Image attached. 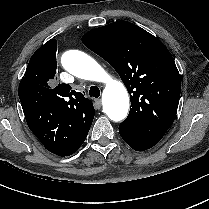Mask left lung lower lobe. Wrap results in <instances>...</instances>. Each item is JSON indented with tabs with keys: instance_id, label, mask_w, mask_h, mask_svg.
<instances>
[{
	"instance_id": "1",
	"label": "left lung lower lobe",
	"mask_w": 209,
	"mask_h": 209,
	"mask_svg": "<svg viewBox=\"0 0 209 209\" xmlns=\"http://www.w3.org/2000/svg\"><path fill=\"white\" fill-rule=\"evenodd\" d=\"M119 132L124 141L136 151H144L157 144V141L148 139L136 130L125 126H119Z\"/></svg>"
}]
</instances>
